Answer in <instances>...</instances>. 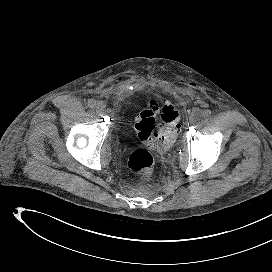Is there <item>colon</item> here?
<instances>
[{
    "instance_id": "1",
    "label": "colon",
    "mask_w": 272,
    "mask_h": 272,
    "mask_svg": "<svg viewBox=\"0 0 272 272\" xmlns=\"http://www.w3.org/2000/svg\"><path fill=\"white\" fill-rule=\"evenodd\" d=\"M161 113L162 123L155 131L156 116ZM179 114L171 105L160 108L154 100L149 101L139 112L135 120L138 137L150 149L162 150L171 147L179 132ZM129 169L137 174L148 177L154 168L153 155L146 149H137L128 159Z\"/></svg>"
}]
</instances>
